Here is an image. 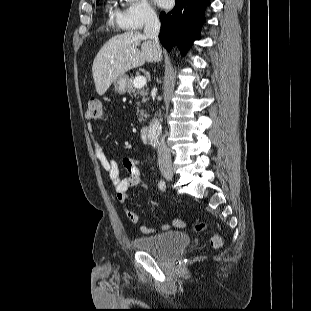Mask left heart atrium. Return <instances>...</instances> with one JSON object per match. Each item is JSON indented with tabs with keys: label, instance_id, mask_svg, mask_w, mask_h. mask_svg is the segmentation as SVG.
<instances>
[{
	"label": "left heart atrium",
	"instance_id": "left-heart-atrium-1",
	"mask_svg": "<svg viewBox=\"0 0 311 311\" xmlns=\"http://www.w3.org/2000/svg\"><path fill=\"white\" fill-rule=\"evenodd\" d=\"M154 2L160 7H165L168 4L169 0H154Z\"/></svg>",
	"mask_w": 311,
	"mask_h": 311
}]
</instances>
